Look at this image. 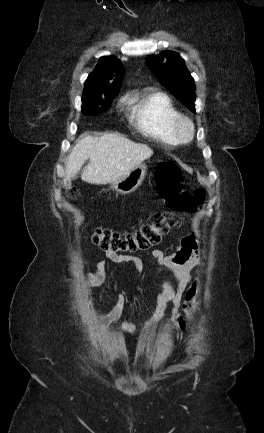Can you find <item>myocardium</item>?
Wrapping results in <instances>:
<instances>
[{"label": "myocardium", "mask_w": 264, "mask_h": 433, "mask_svg": "<svg viewBox=\"0 0 264 433\" xmlns=\"http://www.w3.org/2000/svg\"><path fill=\"white\" fill-rule=\"evenodd\" d=\"M172 131L180 143L190 142L195 136V124L187 116L179 115L172 124Z\"/></svg>", "instance_id": "myocardium-1"}]
</instances>
